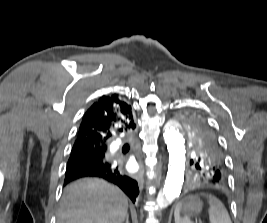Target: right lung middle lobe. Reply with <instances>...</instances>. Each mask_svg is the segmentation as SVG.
Instances as JSON below:
<instances>
[{
  "instance_id": "right-lung-middle-lobe-1",
  "label": "right lung middle lobe",
  "mask_w": 267,
  "mask_h": 223,
  "mask_svg": "<svg viewBox=\"0 0 267 223\" xmlns=\"http://www.w3.org/2000/svg\"><path fill=\"white\" fill-rule=\"evenodd\" d=\"M106 151L100 150L95 147L82 146L76 149L72 148L70 158L67 163V167H70L84 159H93V158H105Z\"/></svg>"
}]
</instances>
